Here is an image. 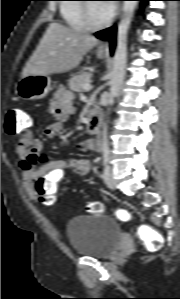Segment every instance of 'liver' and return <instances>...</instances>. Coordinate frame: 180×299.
Returning <instances> with one entry per match:
<instances>
[{
    "label": "liver",
    "mask_w": 180,
    "mask_h": 299,
    "mask_svg": "<svg viewBox=\"0 0 180 299\" xmlns=\"http://www.w3.org/2000/svg\"><path fill=\"white\" fill-rule=\"evenodd\" d=\"M97 44L98 40L92 35L53 22L27 61L22 77L69 71Z\"/></svg>",
    "instance_id": "1"
}]
</instances>
